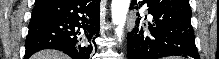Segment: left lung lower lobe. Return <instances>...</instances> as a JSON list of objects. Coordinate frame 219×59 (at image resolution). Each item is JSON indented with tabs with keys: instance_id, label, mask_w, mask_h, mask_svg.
<instances>
[{
	"instance_id": "0a47b994",
	"label": "left lung lower lobe",
	"mask_w": 219,
	"mask_h": 59,
	"mask_svg": "<svg viewBox=\"0 0 219 59\" xmlns=\"http://www.w3.org/2000/svg\"><path fill=\"white\" fill-rule=\"evenodd\" d=\"M147 4L151 22L139 17L127 34L128 59H158L181 56L200 59L195 46L188 0H132L130 9Z\"/></svg>"
}]
</instances>
